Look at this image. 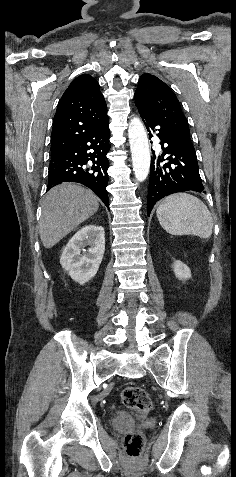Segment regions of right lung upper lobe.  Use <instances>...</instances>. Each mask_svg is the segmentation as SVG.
I'll use <instances>...</instances> for the list:
<instances>
[{
  "mask_svg": "<svg viewBox=\"0 0 236 477\" xmlns=\"http://www.w3.org/2000/svg\"><path fill=\"white\" fill-rule=\"evenodd\" d=\"M108 120L105 99L90 75L77 77L62 95L54 116L51 154L58 156Z\"/></svg>",
  "mask_w": 236,
  "mask_h": 477,
  "instance_id": "obj_1",
  "label": "right lung upper lobe"
}]
</instances>
